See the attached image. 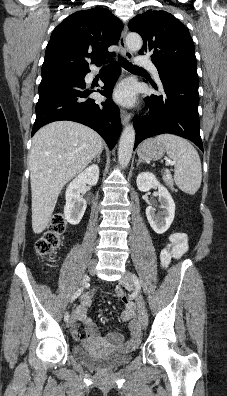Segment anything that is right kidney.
<instances>
[{"label": "right kidney", "instance_id": "obj_1", "mask_svg": "<svg viewBox=\"0 0 227 396\" xmlns=\"http://www.w3.org/2000/svg\"><path fill=\"white\" fill-rule=\"evenodd\" d=\"M99 179V167L91 165L81 172L67 187L65 198L66 205L64 207L65 219L72 225H77L86 210V200L80 195L82 187L85 184L94 186Z\"/></svg>", "mask_w": 227, "mask_h": 396}]
</instances>
